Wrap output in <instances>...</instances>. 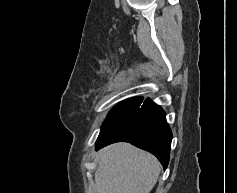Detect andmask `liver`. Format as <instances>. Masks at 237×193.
Instances as JSON below:
<instances>
[{"label":"liver","mask_w":237,"mask_h":193,"mask_svg":"<svg viewBox=\"0 0 237 193\" xmlns=\"http://www.w3.org/2000/svg\"><path fill=\"white\" fill-rule=\"evenodd\" d=\"M161 171L152 154L128 143L107 146L98 153L96 193H150Z\"/></svg>","instance_id":"6515ba94"}]
</instances>
